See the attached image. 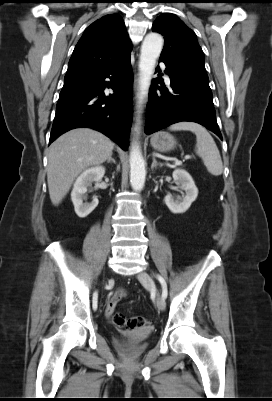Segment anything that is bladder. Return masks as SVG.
Returning <instances> with one entry per match:
<instances>
[{"instance_id":"1","label":"bladder","mask_w":272,"mask_h":401,"mask_svg":"<svg viewBox=\"0 0 272 401\" xmlns=\"http://www.w3.org/2000/svg\"><path fill=\"white\" fill-rule=\"evenodd\" d=\"M153 328L143 326L130 331L127 335L113 337V345L116 350L125 357H137L142 355L148 344L147 337L152 333Z\"/></svg>"}]
</instances>
